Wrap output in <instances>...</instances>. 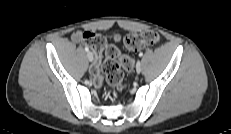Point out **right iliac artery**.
<instances>
[{"mask_svg":"<svg viewBox=\"0 0 231 134\" xmlns=\"http://www.w3.org/2000/svg\"><path fill=\"white\" fill-rule=\"evenodd\" d=\"M85 51L88 52V51H89V48H88V47H85Z\"/></svg>","mask_w":231,"mask_h":134,"instance_id":"82829eb1","label":"right iliac artery"}]
</instances>
